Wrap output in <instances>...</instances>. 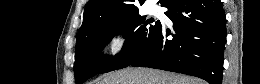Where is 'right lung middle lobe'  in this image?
I'll return each instance as SVG.
<instances>
[{
	"instance_id": "right-lung-middle-lobe-1",
	"label": "right lung middle lobe",
	"mask_w": 260,
	"mask_h": 84,
	"mask_svg": "<svg viewBox=\"0 0 260 84\" xmlns=\"http://www.w3.org/2000/svg\"><path fill=\"white\" fill-rule=\"evenodd\" d=\"M152 22L136 12L120 20L95 23L76 41V83L81 84L96 74L127 67L139 58L151 46L161 27L160 21L151 25ZM119 33L126 37L121 52L112 59L101 55L108 42Z\"/></svg>"
}]
</instances>
